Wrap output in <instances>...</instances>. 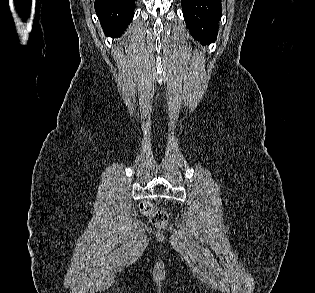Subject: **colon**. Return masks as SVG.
<instances>
[{"label": "colon", "mask_w": 315, "mask_h": 293, "mask_svg": "<svg viewBox=\"0 0 315 293\" xmlns=\"http://www.w3.org/2000/svg\"><path fill=\"white\" fill-rule=\"evenodd\" d=\"M141 210L143 214L150 217L152 224L158 228H162L168 223V213L150 202H144L141 205Z\"/></svg>", "instance_id": "colon-1"}]
</instances>
